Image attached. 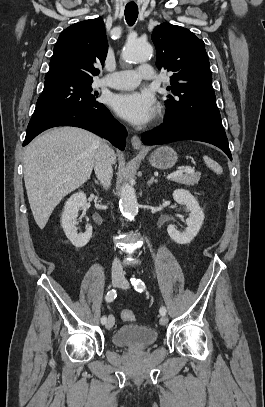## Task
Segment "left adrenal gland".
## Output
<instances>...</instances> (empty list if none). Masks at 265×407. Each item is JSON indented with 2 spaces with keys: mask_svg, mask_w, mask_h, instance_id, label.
I'll return each mask as SVG.
<instances>
[{
  "mask_svg": "<svg viewBox=\"0 0 265 407\" xmlns=\"http://www.w3.org/2000/svg\"><path fill=\"white\" fill-rule=\"evenodd\" d=\"M154 182L157 183V180L155 179L154 176H151V179L147 182V185L150 186V185L153 184Z\"/></svg>",
  "mask_w": 265,
  "mask_h": 407,
  "instance_id": "left-adrenal-gland-1",
  "label": "left adrenal gland"
}]
</instances>
